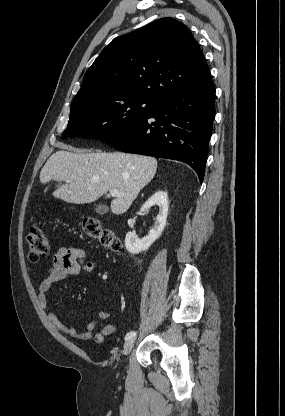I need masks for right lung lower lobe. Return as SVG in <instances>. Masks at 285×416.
Here are the masks:
<instances>
[{
  "mask_svg": "<svg viewBox=\"0 0 285 416\" xmlns=\"http://www.w3.org/2000/svg\"><path fill=\"white\" fill-rule=\"evenodd\" d=\"M214 116L211 80L164 100L137 123L101 141L127 153L182 161L202 183Z\"/></svg>",
  "mask_w": 285,
  "mask_h": 416,
  "instance_id": "98d812e1",
  "label": "right lung lower lobe"
}]
</instances>
